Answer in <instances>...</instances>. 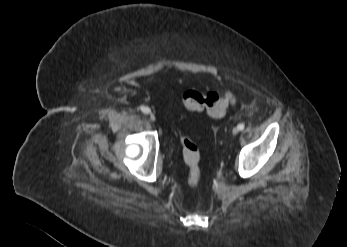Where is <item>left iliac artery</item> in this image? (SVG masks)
Masks as SVG:
<instances>
[{
  "instance_id": "44dca946",
  "label": "left iliac artery",
  "mask_w": 347,
  "mask_h": 247,
  "mask_svg": "<svg viewBox=\"0 0 347 247\" xmlns=\"http://www.w3.org/2000/svg\"><path fill=\"white\" fill-rule=\"evenodd\" d=\"M244 127H245V125L243 124V123H240V124H238V126H237V128L239 129V130H243L244 129Z\"/></svg>"
}]
</instances>
